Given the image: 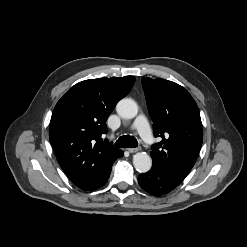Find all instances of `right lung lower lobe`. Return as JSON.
<instances>
[{"instance_id":"98d812e1","label":"right lung lower lobe","mask_w":247,"mask_h":247,"mask_svg":"<svg viewBox=\"0 0 247 247\" xmlns=\"http://www.w3.org/2000/svg\"><path fill=\"white\" fill-rule=\"evenodd\" d=\"M122 156H123V152L121 151V153L118 155V157H117V158L122 157ZM108 178H109V177H108ZM107 180H108V179H107ZM107 180H106V181H107ZM106 181H105L103 184H105V183H106ZM103 184H102V185H103ZM102 185H101V186H102ZM101 186H100V187H101Z\"/></svg>"}]
</instances>
